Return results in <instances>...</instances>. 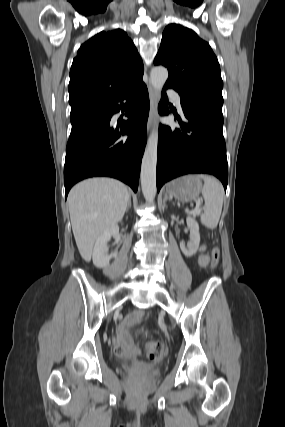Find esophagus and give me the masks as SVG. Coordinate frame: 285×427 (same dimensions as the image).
<instances>
[{"label": "esophagus", "instance_id": "1", "mask_svg": "<svg viewBox=\"0 0 285 427\" xmlns=\"http://www.w3.org/2000/svg\"><path fill=\"white\" fill-rule=\"evenodd\" d=\"M149 99H150V112L147 123V130L149 131L152 127V123L156 116V108H157V94L151 84L148 85Z\"/></svg>", "mask_w": 285, "mask_h": 427}]
</instances>
